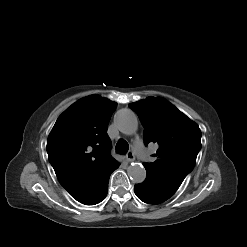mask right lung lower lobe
<instances>
[{"instance_id":"right-lung-lower-lobe-1","label":"right lung lower lobe","mask_w":247,"mask_h":247,"mask_svg":"<svg viewBox=\"0 0 247 247\" xmlns=\"http://www.w3.org/2000/svg\"><path fill=\"white\" fill-rule=\"evenodd\" d=\"M117 163L111 170L103 174L99 179L89 185L84 191L74 198L85 205H95L101 202L107 195L108 181L111 173L119 167Z\"/></svg>"}]
</instances>
